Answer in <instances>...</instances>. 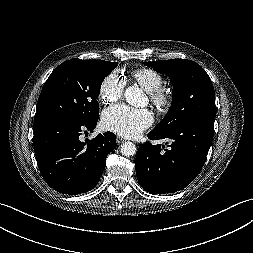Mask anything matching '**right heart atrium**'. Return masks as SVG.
Returning <instances> with one entry per match:
<instances>
[{"label":"right heart atrium","instance_id":"right-heart-atrium-1","mask_svg":"<svg viewBox=\"0 0 253 253\" xmlns=\"http://www.w3.org/2000/svg\"><path fill=\"white\" fill-rule=\"evenodd\" d=\"M124 80L116 72L108 74L100 84L99 97L104 104H112L121 99L124 90Z\"/></svg>","mask_w":253,"mask_h":253}]
</instances>
